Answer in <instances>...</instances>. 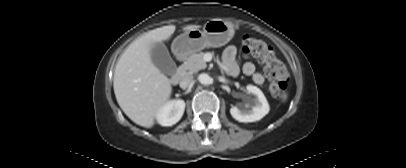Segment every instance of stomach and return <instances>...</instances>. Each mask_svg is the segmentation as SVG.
<instances>
[{
  "label": "stomach",
  "mask_w": 406,
  "mask_h": 168,
  "mask_svg": "<svg viewBox=\"0 0 406 168\" xmlns=\"http://www.w3.org/2000/svg\"><path fill=\"white\" fill-rule=\"evenodd\" d=\"M234 26L221 19L208 21L203 30L192 29L179 35L172 43L173 53L184 58L205 47H221L234 36Z\"/></svg>",
  "instance_id": "stomach-1"
}]
</instances>
